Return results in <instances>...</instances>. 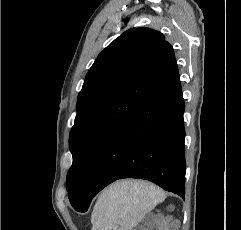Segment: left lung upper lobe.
Instances as JSON below:
<instances>
[{
    "mask_svg": "<svg viewBox=\"0 0 241 230\" xmlns=\"http://www.w3.org/2000/svg\"><path fill=\"white\" fill-rule=\"evenodd\" d=\"M178 71L172 46L159 31L132 28L100 52L78 95L70 132L73 163L67 174L78 204L105 143Z\"/></svg>",
    "mask_w": 241,
    "mask_h": 230,
    "instance_id": "5c2ea615",
    "label": "left lung upper lobe"
}]
</instances>
